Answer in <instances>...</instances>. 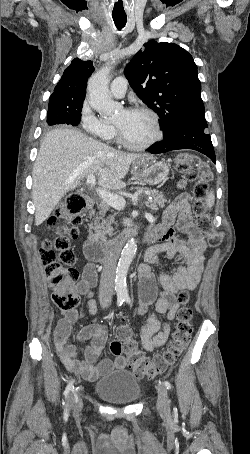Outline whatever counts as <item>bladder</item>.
Returning <instances> with one entry per match:
<instances>
[{
  "label": "bladder",
  "mask_w": 250,
  "mask_h": 454,
  "mask_svg": "<svg viewBox=\"0 0 250 454\" xmlns=\"http://www.w3.org/2000/svg\"><path fill=\"white\" fill-rule=\"evenodd\" d=\"M141 391L138 378L125 369L111 372L94 383L96 396L109 404H132L140 398Z\"/></svg>",
  "instance_id": "obj_1"
}]
</instances>
